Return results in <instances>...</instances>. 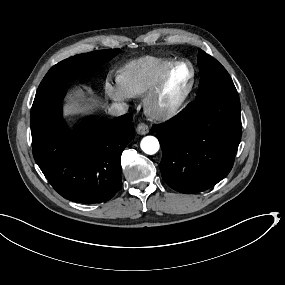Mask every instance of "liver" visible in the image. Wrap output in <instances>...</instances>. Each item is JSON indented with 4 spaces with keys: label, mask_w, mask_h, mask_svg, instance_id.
<instances>
[{
    "label": "liver",
    "mask_w": 285,
    "mask_h": 285,
    "mask_svg": "<svg viewBox=\"0 0 285 285\" xmlns=\"http://www.w3.org/2000/svg\"><path fill=\"white\" fill-rule=\"evenodd\" d=\"M86 91H88L91 94V91L87 88L84 87ZM87 95L86 92L83 91L82 89H79L76 93L75 96L70 100L69 105H68V111L73 112L77 110L83 103L87 102Z\"/></svg>",
    "instance_id": "6515ba94"
}]
</instances>
